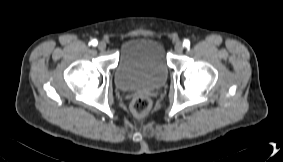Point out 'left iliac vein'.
Instances as JSON below:
<instances>
[{
  "mask_svg": "<svg viewBox=\"0 0 283 162\" xmlns=\"http://www.w3.org/2000/svg\"><path fill=\"white\" fill-rule=\"evenodd\" d=\"M183 49H184V45L182 44V42H177L175 44V51L177 53H179V54L182 53Z\"/></svg>",
  "mask_w": 283,
  "mask_h": 162,
  "instance_id": "left-iliac-vein-1",
  "label": "left iliac vein"
}]
</instances>
